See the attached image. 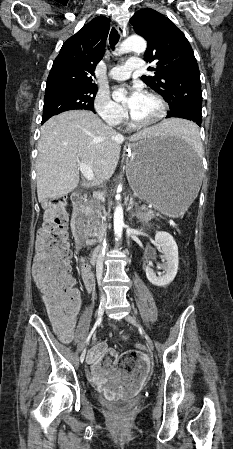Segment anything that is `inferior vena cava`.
<instances>
[{"label":"inferior vena cava","mask_w":233,"mask_h":449,"mask_svg":"<svg viewBox=\"0 0 233 449\" xmlns=\"http://www.w3.org/2000/svg\"><path fill=\"white\" fill-rule=\"evenodd\" d=\"M96 274H97V278H98V279H101V278H102V274H103V264H102V263H99V264L97 265V268H96Z\"/></svg>","instance_id":"602c4592"}]
</instances>
